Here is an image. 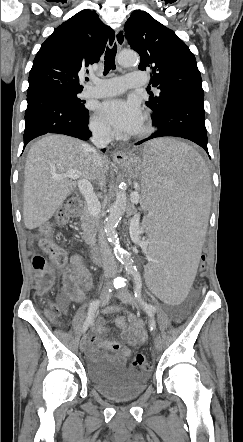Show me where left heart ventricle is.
<instances>
[{"mask_svg": "<svg viewBox=\"0 0 243 442\" xmlns=\"http://www.w3.org/2000/svg\"><path fill=\"white\" fill-rule=\"evenodd\" d=\"M143 126H144V120L142 121L141 125L139 126V128L137 129V131L135 133L139 132L143 128Z\"/></svg>", "mask_w": 243, "mask_h": 442, "instance_id": "b2bd125f", "label": "left heart ventricle"}]
</instances>
